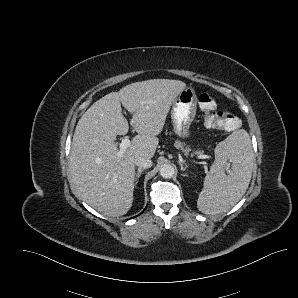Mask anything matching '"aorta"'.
Masks as SVG:
<instances>
[{"mask_svg":"<svg viewBox=\"0 0 298 298\" xmlns=\"http://www.w3.org/2000/svg\"><path fill=\"white\" fill-rule=\"evenodd\" d=\"M159 174L165 179H171L175 174V168L171 164H162L159 170Z\"/></svg>","mask_w":298,"mask_h":298,"instance_id":"aorta-1","label":"aorta"}]
</instances>
